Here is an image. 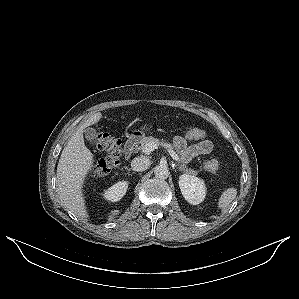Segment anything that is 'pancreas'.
I'll list each match as a JSON object with an SVG mask.
<instances>
[{"label": "pancreas", "mask_w": 299, "mask_h": 299, "mask_svg": "<svg viewBox=\"0 0 299 299\" xmlns=\"http://www.w3.org/2000/svg\"><path fill=\"white\" fill-rule=\"evenodd\" d=\"M148 143H155L158 146L163 145L165 147L168 146L169 148H172L171 144L160 141L159 139L154 138L152 136H148V137H144V138L141 139L139 149H143L145 147V145L148 144Z\"/></svg>", "instance_id": "cf45deb5"}]
</instances>
